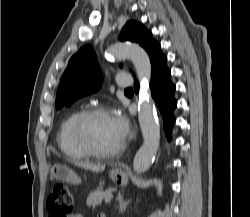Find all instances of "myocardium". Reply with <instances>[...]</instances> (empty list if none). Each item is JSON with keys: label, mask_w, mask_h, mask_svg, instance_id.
<instances>
[{"label": "myocardium", "mask_w": 250, "mask_h": 217, "mask_svg": "<svg viewBox=\"0 0 250 217\" xmlns=\"http://www.w3.org/2000/svg\"><path fill=\"white\" fill-rule=\"evenodd\" d=\"M107 114H109V110L106 107L94 106L83 111L75 122V140L89 156L100 158L114 157L120 154L125 148V144L122 142L112 150H101L91 142L87 131L88 123L96 116Z\"/></svg>", "instance_id": "1"}]
</instances>
